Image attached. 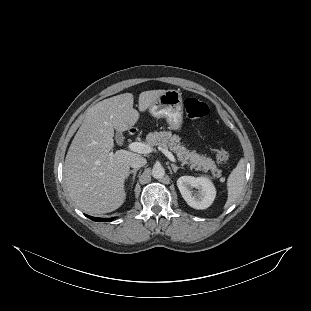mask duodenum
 I'll use <instances>...</instances> for the list:
<instances>
[{
    "label": "duodenum",
    "instance_id": "obj_1",
    "mask_svg": "<svg viewBox=\"0 0 311 311\" xmlns=\"http://www.w3.org/2000/svg\"><path fill=\"white\" fill-rule=\"evenodd\" d=\"M136 132V130L135 129H131V133H135Z\"/></svg>",
    "mask_w": 311,
    "mask_h": 311
}]
</instances>
